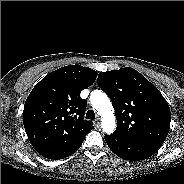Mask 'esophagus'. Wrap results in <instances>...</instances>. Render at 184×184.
Listing matches in <instances>:
<instances>
[{"label": "esophagus", "mask_w": 184, "mask_h": 184, "mask_svg": "<svg viewBox=\"0 0 184 184\" xmlns=\"http://www.w3.org/2000/svg\"><path fill=\"white\" fill-rule=\"evenodd\" d=\"M95 123H96V125H99L100 124V117H97L96 118Z\"/></svg>", "instance_id": "34e87169"}]
</instances>
